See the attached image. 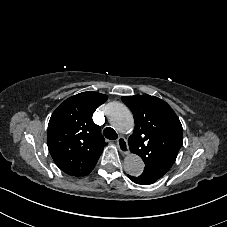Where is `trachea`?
I'll use <instances>...</instances> for the list:
<instances>
[{
  "instance_id": "1",
  "label": "trachea",
  "mask_w": 227,
  "mask_h": 227,
  "mask_svg": "<svg viewBox=\"0 0 227 227\" xmlns=\"http://www.w3.org/2000/svg\"><path fill=\"white\" fill-rule=\"evenodd\" d=\"M103 134L104 136L107 138V139H110V140H115L118 138V134L116 133V131L111 128V127H106L104 130H103Z\"/></svg>"
}]
</instances>
